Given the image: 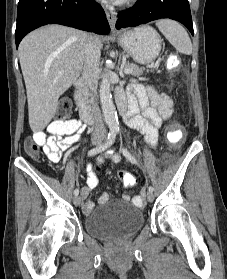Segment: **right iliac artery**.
<instances>
[{"label": "right iliac artery", "instance_id": "obj_1", "mask_svg": "<svg viewBox=\"0 0 227 279\" xmlns=\"http://www.w3.org/2000/svg\"><path fill=\"white\" fill-rule=\"evenodd\" d=\"M115 138H116V131H110L108 134L107 140L100 146L91 149L88 152V156H93V155H96V154L106 150L108 147H110L114 143ZM78 194H79V189H75L74 195L78 196Z\"/></svg>", "mask_w": 227, "mask_h": 279}]
</instances>
